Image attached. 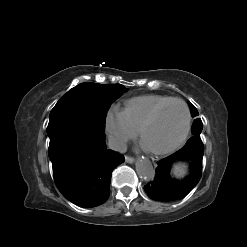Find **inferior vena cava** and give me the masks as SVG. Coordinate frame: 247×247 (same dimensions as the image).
Returning <instances> with one entry per match:
<instances>
[{
    "label": "inferior vena cava",
    "instance_id": "1",
    "mask_svg": "<svg viewBox=\"0 0 247 247\" xmlns=\"http://www.w3.org/2000/svg\"><path fill=\"white\" fill-rule=\"evenodd\" d=\"M108 146L110 149L120 153H125L127 151L126 143L123 140H120L115 137L109 138Z\"/></svg>",
    "mask_w": 247,
    "mask_h": 247
}]
</instances>
